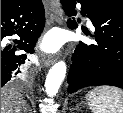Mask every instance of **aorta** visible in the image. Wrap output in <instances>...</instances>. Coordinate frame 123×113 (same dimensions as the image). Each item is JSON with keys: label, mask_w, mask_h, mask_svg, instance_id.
<instances>
[{"label": "aorta", "mask_w": 123, "mask_h": 113, "mask_svg": "<svg viewBox=\"0 0 123 113\" xmlns=\"http://www.w3.org/2000/svg\"><path fill=\"white\" fill-rule=\"evenodd\" d=\"M66 69L64 61H59L50 68L45 80V91L49 97H53L58 93L65 78Z\"/></svg>", "instance_id": "aorta-1"}]
</instances>
